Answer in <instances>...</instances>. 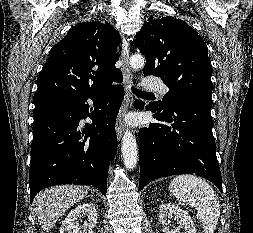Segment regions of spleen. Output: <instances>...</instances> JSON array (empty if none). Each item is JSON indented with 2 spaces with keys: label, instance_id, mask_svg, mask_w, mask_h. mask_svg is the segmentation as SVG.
Here are the masks:
<instances>
[{
  "label": "spleen",
  "instance_id": "1",
  "mask_svg": "<svg viewBox=\"0 0 253 233\" xmlns=\"http://www.w3.org/2000/svg\"><path fill=\"white\" fill-rule=\"evenodd\" d=\"M169 190L179 201L196 208L205 233H214L220 216V202L214 189L194 175L173 178Z\"/></svg>",
  "mask_w": 253,
  "mask_h": 233
}]
</instances>
